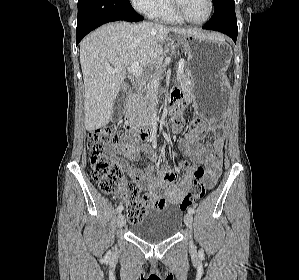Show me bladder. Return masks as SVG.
I'll return each instance as SVG.
<instances>
[{
    "instance_id": "31cf9c89",
    "label": "bladder",
    "mask_w": 299,
    "mask_h": 280,
    "mask_svg": "<svg viewBox=\"0 0 299 280\" xmlns=\"http://www.w3.org/2000/svg\"><path fill=\"white\" fill-rule=\"evenodd\" d=\"M182 213L174 208L150 210L131 225V233L148 243H158L174 237L182 226Z\"/></svg>"
}]
</instances>
